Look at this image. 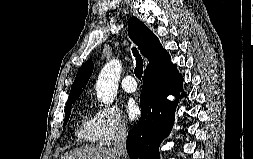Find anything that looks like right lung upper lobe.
<instances>
[{"label": "right lung upper lobe", "mask_w": 253, "mask_h": 159, "mask_svg": "<svg viewBox=\"0 0 253 159\" xmlns=\"http://www.w3.org/2000/svg\"><path fill=\"white\" fill-rule=\"evenodd\" d=\"M128 34L137 44L141 54L149 60L144 73L161 72L172 67L169 54L162 48L158 38L136 17H132L129 20ZM92 71L93 62L91 60L80 67L67 101L79 98Z\"/></svg>", "instance_id": "obj_1"}]
</instances>
